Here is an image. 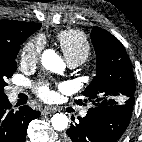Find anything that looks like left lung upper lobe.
Instances as JSON below:
<instances>
[{
	"label": "left lung upper lobe",
	"instance_id": "obj_1",
	"mask_svg": "<svg viewBox=\"0 0 142 142\" xmlns=\"http://www.w3.org/2000/svg\"><path fill=\"white\" fill-rule=\"evenodd\" d=\"M91 38L97 55V75L83 91L87 97L84 101H92L95 106L134 105L135 78L124 46L97 26L93 27Z\"/></svg>",
	"mask_w": 142,
	"mask_h": 142
}]
</instances>
